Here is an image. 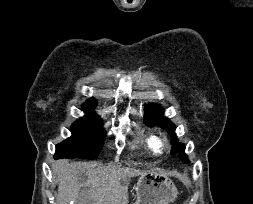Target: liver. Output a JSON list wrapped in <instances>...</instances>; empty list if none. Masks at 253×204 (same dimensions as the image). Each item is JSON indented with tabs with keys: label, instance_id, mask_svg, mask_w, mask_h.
Segmentation results:
<instances>
[{
	"label": "liver",
	"instance_id": "1",
	"mask_svg": "<svg viewBox=\"0 0 253 204\" xmlns=\"http://www.w3.org/2000/svg\"><path fill=\"white\" fill-rule=\"evenodd\" d=\"M58 180L56 204H123V181L141 174L138 169L118 165L58 160L52 166ZM81 191V192H80Z\"/></svg>",
	"mask_w": 253,
	"mask_h": 204
}]
</instances>
